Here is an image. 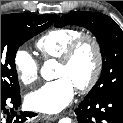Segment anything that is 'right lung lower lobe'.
I'll return each mask as SVG.
<instances>
[{"mask_svg": "<svg viewBox=\"0 0 123 123\" xmlns=\"http://www.w3.org/2000/svg\"><path fill=\"white\" fill-rule=\"evenodd\" d=\"M21 104L20 93L5 96L1 95V123H23L35 116L33 112H15ZM10 105V110L8 109Z\"/></svg>", "mask_w": 123, "mask_h": 123, "instance_id": "obj_1", "label": "right lung lower lobe"}]
</instances>
